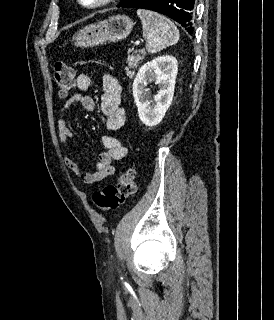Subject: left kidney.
Wrapping results in <instances>:
<instances>
[{
  "mask_svg": "<svg viewBox=\"0 0 274 320\" xmlns=\"http://www.w3.org/2000/svg\"><path fill=\"white\" fill-rule=\"evenodd\" d=\"M178 64L173 56H158L140 68L133 82V98L141 122L145 126H157L163 120L173 98ZM158 84L159 92L152 96L145 90L147 84ZM154 102V106H150Z\"/></svg>",
  "mask_w": 274,
  "mask_h": 320,
  "instance_id": "1",
  "label": "left kidney"
}]
</instances>
